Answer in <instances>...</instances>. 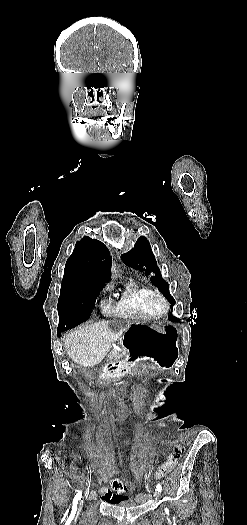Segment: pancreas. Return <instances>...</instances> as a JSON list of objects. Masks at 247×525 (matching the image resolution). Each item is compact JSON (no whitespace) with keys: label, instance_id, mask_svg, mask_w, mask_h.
<instances>
[{"label":"pancreas","instance_id":"cf45deb5","mask_svg":"<svg viewBox=\"0 0 247 525\" xmlns=\"http://www.w3.org/2000/svg\"><path fill=\"white\" fill-rule=\"evenodd\" d=\"M106 358H109V361H124L128 360L129 356L126 355L125 349H117V352H109Z\"/></svg>","mask_w":247,"mask_h":525}]
</instances>
